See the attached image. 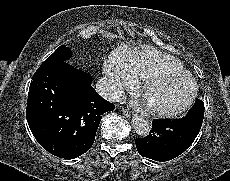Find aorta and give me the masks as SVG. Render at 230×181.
Instances as JSON below:
<instances>
[{"mask_svg": "<svg viewBox=\"0 0 230 181\" xmlns=\"http://www.w3.org/2000/svg\"><path fill=\"white\" fill-rule=\"evenodd\" d=\"M132 128L137 135L145 137L148 136L151 131V124L143 116L135 115L132 118Z\"/></svg>", "mask_w": 230, "mask_h": 181, "instance_id": "1", "label": "aorta"}]
</instances>
